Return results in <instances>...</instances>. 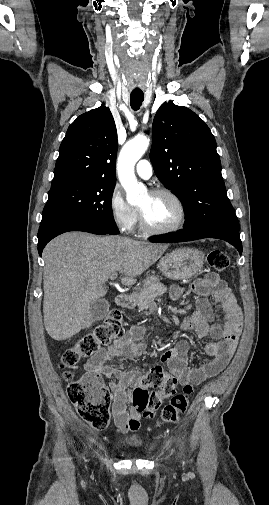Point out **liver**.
Listing matches in <instances>:
<instances>
[{
	"label": "liver",
	"instance_id": "obj_1",
	"mask_svg": "<svg viewBox=\"0 0 269 505\" xmlns=\"http://www.w3.org/2000/svg\"><path fill=\"white\" fill-rule=\"evenodd\" d=\"M167 246L121 236L64 233L43 250V315L47 333L66 340L84 327L92 301L107 293L105 283L121 274L123 285L152 266Z\"/></svg>",
	"mask_w": 269,
	"mask_h": 505
}]
</instances>
